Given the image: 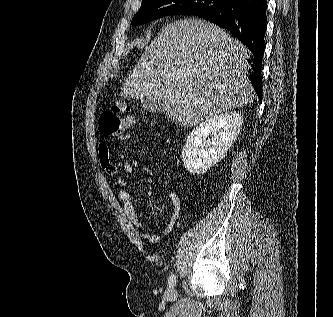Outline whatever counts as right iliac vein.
Listing matches in <instances>:
<instances>
[{
  "instance_id": "right-iliac-vein-1",
  "label": "right iliac vein",
  "mask_w": 333,
  "mask_h": 317,
  "mask_svg": "<svg viewBox=\"0 0 333 317\" xmlns=\"http://www.w3.org/2000/svg\"><path fill=\"white\" fill-rule=\"evenodd\" d=\"M177 293H176V290L172 287V288H169L167 289L166 291V296L169 298V299H174L176 297Z\"/></svg>"
}]
</instances>
